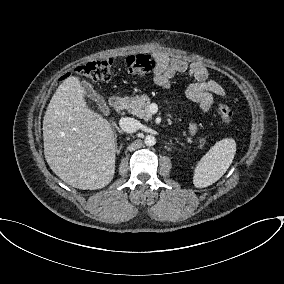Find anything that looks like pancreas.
Returning a JSON list of instances; mask_svg holds the SVG:
<instances>
[{
	"label": "pancreas",
	"instance_id": "cf45deb5",
	"mask_svg": "<svg viewBox=\"0 0 284 284\" xmlns=\"http://www.w3.org/2000/svg\"><path fill=\"white\" fill-rule=\"evenodd\" d=\"M124 108L127 109L132 115L139 117L144 120H151L152 113L150 111V98L146 95L125 97L124 98ZM188 142H192L191 138H187ZM199 147L202 148L206 142L205 138L198 140Z\"/></svg>",
	"mask_w": 284,
	"mask_h": 284
}]
</instances>
